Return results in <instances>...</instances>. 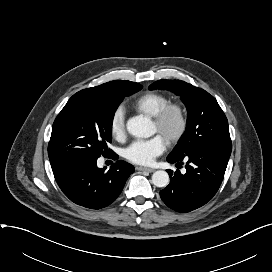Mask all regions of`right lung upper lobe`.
Here are the masks:
<instances>
[{
    "label": "right lung upper lobe",
    "mask_w": 272,
    "mask_h": 272,
    "mask_svg": "<svg viewBox=\"0 0 272 272\" xmlns=\"http://www.w3.org/2000/svg\"><path fill=\"white\" fill-rule=\"evenodd\" d=\"M129 81L115 80L102 85L81 90L72 97H88L96 99H108L120 95Z\"/></svg>",
    "instance_id": "1"
}]
</instances>
